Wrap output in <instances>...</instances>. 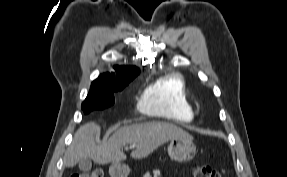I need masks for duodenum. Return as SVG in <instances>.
<instances>
[{"instance_id":"duodenum-1","label":"duodenum","mask_w":287,"mask_h":177,"mask_svg":"<svg viewBox=\"0 0 287 177\" xmlns=\"http://www.w3.org/2000/svg\"><path fill=\"white\" fill-rule=\"evenodd\" d=\"M115 173L118 175H125L126 174V172L123 169H116Z\"/></svg>"}]
</instances>
